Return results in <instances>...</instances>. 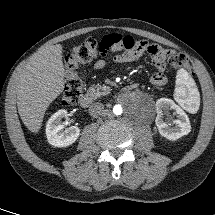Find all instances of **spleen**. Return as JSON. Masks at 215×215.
<instances>
[{
	"label": "spleen",
	"instance_id": "1",
	"mask_svg": "<svg viewBox=\"0 0 215 215\" xmlns=\"http://www.w3.org/2000/svg\"><path fill=\"white\" fill-rule=\"evenodd\" d=\"M176 101L187 111L195 112L199 104V94L193 79L184 70L178 72L176 89Z\"/></svg>",
	"mask_w": 215,
	"mask_h": 215
}]
</instances>
